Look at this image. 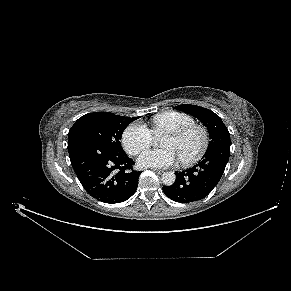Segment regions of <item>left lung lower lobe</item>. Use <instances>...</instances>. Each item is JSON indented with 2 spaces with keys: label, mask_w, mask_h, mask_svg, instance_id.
I'll return each instance as SVG.
<instances>
[{
  "label": "left lung lower lobe",
  "mask_w": 291,
  "mask_h": 291,
  "mask_svg": "<svg viewBox=\"0 0 291 291\" xmlns=\"http://www.w3.org/2000/svg\"><path fill=\"white\" fill-rule=\"evenodd\" d=\"M230 155V146L223 145L205 153L192 168L176 172V180L163 191L171 200L189 203L205 198L221 179Z\"/></svg>",
  "instance_id": "left-lung-lower-lobe-1"
}]
</instances>
